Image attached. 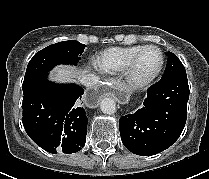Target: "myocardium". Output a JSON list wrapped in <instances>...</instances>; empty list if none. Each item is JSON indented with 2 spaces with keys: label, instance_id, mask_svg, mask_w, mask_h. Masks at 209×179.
<instances>
[{
  "label": "myocardium",
  "instance_id": "f54148a6",
  "mask_svg": "<svg viewBox=\"0 0 209 179\" xmlns=\"http://www.w3.org/2000/svg\"><path fill=\"white\" fill-rule=\"evenodd\" d=\"M157 49L161 55V62L158 69L151 74L150 76L138 78L135 74L136 65L138 60L140 59L141 55L148 49ZM165 65V55L163 50L156 45H146L142 49H140L129 61L126 68L123 71L125 82L127 86L134 91L143 90L150 86L161 74Z\"/></svg>",
  "mask_w": 209,
  "mask_h": 179
}]
</instances>
